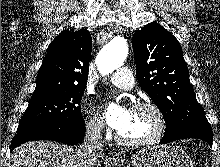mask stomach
I'll list each match as a JSON object with an SVG mask.
<instances>
[{"mask_svg":"<svg viewBox=\"0 0 220 167\" xmlns=\"http://www.w3.org/2000/svg\"><path fill=\"white\" fill-rule=\"evenodd\" d=\"M126 167H193V164L182 148L165 145L136 152Z\"/></svg>","mask_w":220,"mask_h":167,"instance_id":"0dacf381","label":"stomach"}]
</instances>
